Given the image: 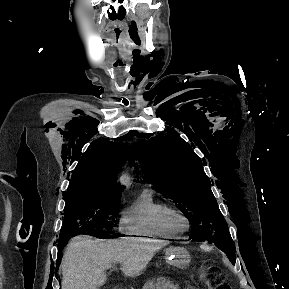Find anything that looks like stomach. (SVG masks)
<instances>
[{"instance_id": "1", "label": "stomach", "mask_w": 289, "mask_h": 289, "mask_svg": "<svg viewBox=\"0 0 289 289\" xmlns=\"http://www.w3.org/2000/svg\"><path fill=\"white\" fill-rule=\"evenodd\" d=\"M165 260L177 268L186 269L191 261V257L186 248L176 246L166 249Z\"/></svg>"}]
</instances>
